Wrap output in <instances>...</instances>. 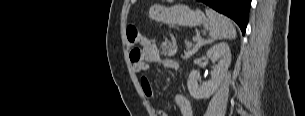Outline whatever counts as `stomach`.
I'll return each mask as SVG.
<instances>
[{"instance_id":"1","label":"stomach","mask_w":305,"mask_h":116,"mask_svg":"<svg viewBox=\"0 0 305 116\" xmlns=\"http://www.w3.org/2000/svg\"><path fill=\"white\" fill-rule=\"evenodd\" d=\"M149 17L157 22L183 27H193L204 23V15L188 6L177 4L172 7L153 5L149 9Z\"/></svg>"}]
</instances>
